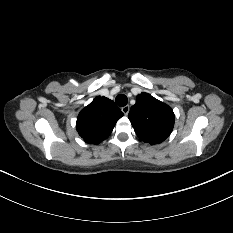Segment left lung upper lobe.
I'll return each mask as SVG.
<instances>
[{"instance_id": "obj_1", "label": "left lung upper lobe", "mask_w": 233, "mask_h": 233, "mask_svg": "<svg viewBox=\"0 0 233 233\" xmlns=\"http://www.w3.org/2000/svg\"><path fill=\"white\" fill-rule=\"evenodd\" d=\"M128 117L140 140L151 145L167 139L174 126L172 109L148 93L137 96Z\"/></svg>"}]
</instances>
